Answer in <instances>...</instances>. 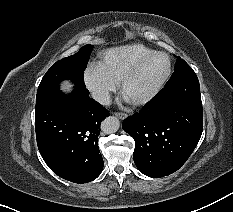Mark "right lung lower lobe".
<instances>
[{"label":"right lung lower lobe","instance_id":"98d812e1","mask_svg":"<svg viewBox=\"0 0 233 212\" xmlns=\"http://www.w3.org/2000/svg\"><path fill=\"white\" fill-rule=\"evenodd\" d=\"M109 111L89 97L86 87L58 91L35 110L37 144L42 158L58 176L75 183L97 178L104 166L98 149L101 121Z\"/></svg>","mask_w":233,"mask_h":212}]
</instances>
